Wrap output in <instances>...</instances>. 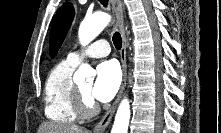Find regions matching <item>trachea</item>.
Wrapping results in <instances>:
<instances>
[{"instance_id":"trachea-1","label":"trachea","mask_w":221,"mask_h":133,"mask_svg":"<svg viewBox=\"0 0 221 133\" xmlns=\"http://www.w3.org/2000/svg\"><path fill=\"white\" fill-rule=\"evenodd\" d=\"M100 2H101V4H103L104 6H107V4H108V1H107V0H100ZM112 40H113V43H114L115 48H116L117 50H120L121 47H122V38H121V35H120L118 32L114 33Z\"/></svg>"}]
</instances>
